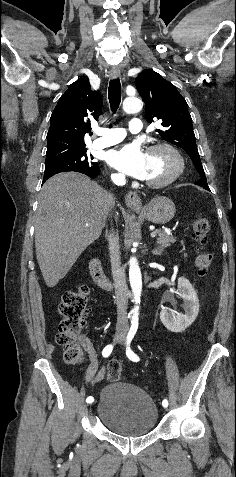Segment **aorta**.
Returning <instances> with one entry per match:
<instances>
[{"label": "aorta", "instance_id": "1", "mask_svg": "<svg viewBox=\"0 0 236 477\" xmlns=\"http://www.w3.org/2000/svg\"><path fill=\"white\" fill-rule=\"evenodd\" d=\"M142 101L136 97H127L123 101V110L128 114L137 113L142 109ZM129 280L134 296L135 304L140 303V297L142 292V276L138 265V261L135 257L129 260ZM139 307L135 306L133 309V319H138Z\"/></svg>", "mask_w": 236, "mask_h": 477}]
</instances>
